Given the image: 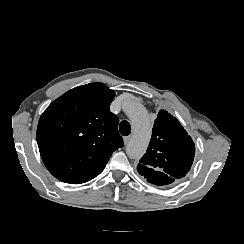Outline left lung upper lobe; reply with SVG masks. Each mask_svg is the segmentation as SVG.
<instances>
[{"label":"left lung upper lobe","instance_id":"5c2ea615","mask_svg":"<svg viewBox=\"0 0 244 244\" xmlns=\"http://www.w3.org/2000/svg\"><path fill=\"white\" fill-rule=\"evenodd\" d=\"M194 155L195 144L180 122L166 110H160L137 171L152 184L168 185L189 172Z\"/></svg>","mask_w":244,"mask_h":244}]
</instances>
